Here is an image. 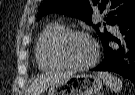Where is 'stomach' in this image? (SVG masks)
Masks as SVG:
<instances>
[{"label": "stomach", "mask_w": 135, "mask_h": 95, "mask_svg": "<svg viewBox=\"0 0 135 95\" xmlns=\"http://www.w3.org/2000/svg\"><path fill=\"white\" fill-rule=\"evenodd\" d=\"M102 87L99 76L91 74H72L51 86L47 95H95Z\"/></svg>", "instance_id": "obj_1"}]
</instances>
